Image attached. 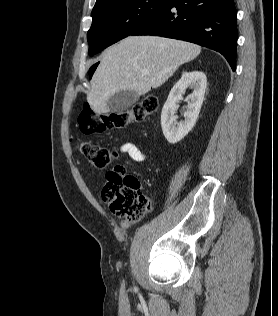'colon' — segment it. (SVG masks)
Masks as SVG:
<instances>
[{
    "mask_svg": "<svg viewBox=\"0 0 278 316\" xmlns=\"http://www.w3.org/2000/svg\"><path fill=\"white\" fill-rule=\"evenodd\" d=\"M157 108L158 100L154 96L145 97L130 110L109 115L97 114L85 105L78 116V127L83 134L90 136L142 121ZM80 151L98 168L109 166L117 157L116 151L87 141L81 143ZM102 198L113 214L123 217L129 223L139 221L149 208L148 199L140 193L139 180L127 174L122 166H116L107 173Z\"/></svg>",
    "mask_w": 278,
    "mask_h": 316,
    "instance_id": "colon-1",
    "label": "colon"
}]
</instances>
